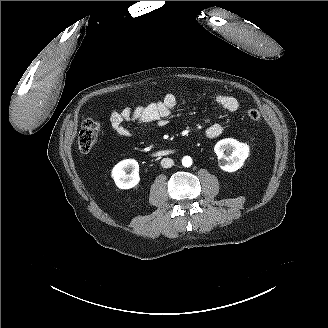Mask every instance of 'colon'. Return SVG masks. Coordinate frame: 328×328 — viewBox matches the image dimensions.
Wrapping results in <instances>:
<instances>
[{"label":"colon","instance_id":"colon-1","mask_svg":"<svg viewBox=\"0 0 328 328\" xmlns=\"http://www.w3.org/2000/svg\"><path fill=\"white\" fill-rule=\"evenodd\" d=\"M247 115L251 121L258 122L261 120V114L257 109L248 110ZM99 130V123L94 120L88 119L82 123L77 139L78 148L81 152L88 153L93 148Z\"/></svg>","mask_w":328,"mask_h":328}]
</instances>
